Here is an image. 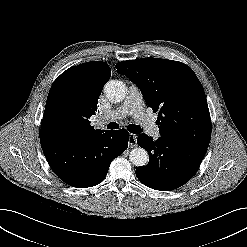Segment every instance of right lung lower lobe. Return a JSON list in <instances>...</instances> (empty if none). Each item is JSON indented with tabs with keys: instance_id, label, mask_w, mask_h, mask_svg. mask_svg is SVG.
Listing matches in <instances>:
<instances>
[{
	"instance_id": "obj_1",
	"label": "right lung lower lobe",
	"mask_w": 247,
	"mask_h": 247,
	"mask_svg": "<svg viewBox=\"0 0 247 247\" xmlns=\"http://www.w3.org/2000/svg\"><path fill=\"white\" fill-rule=\"evenodd\" d=\"M126 129L104 131L85 140L73 141L40 132V142L53 172L76 188L92 187L104 180L111 161L128 147Z\"/></svg>"
}]
</instances>
